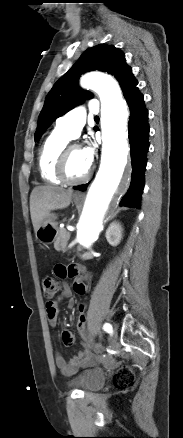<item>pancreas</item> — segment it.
<instances>
[{"mask_svg": "<svg viewBox=\"0 0 183 438\" xmlns=\"http://www.w3.org/2000/svg\"><path fill=\"white\" fill-rule=\"evenodd\" d=\"M70 236L71 234L65 229H59L57 233V238L54 242L55 250L59 252H65Z\"/></svg>", "mask_w": 183, "mask_h": 438, "instance_id": "obj_1", "label": "pancreas"}]
</instances>
